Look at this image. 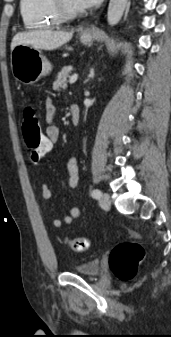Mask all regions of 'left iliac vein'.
Returning <instances> with one entry per match:
<instances>
[{"mask_svg":"<svg viewBox=\"0 0 171 337\" xmlns=\"http://www.w3.org/2000/svg\"><path fill=\"white\" fill-rule=\"evenodd\" d=\"M100 207L102 209L108 210L110 208V195L108 193H103L99 200Z\"/></svg>","mask_w":171,"mask_h":337,"instance_id":"obj_1","label":"left iliac vein"}]
</instances>
